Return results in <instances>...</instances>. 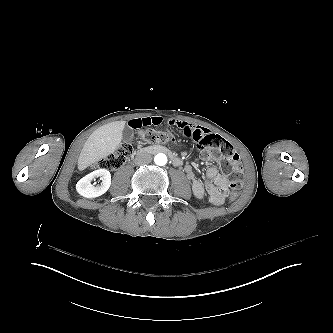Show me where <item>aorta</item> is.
Returning a JSON list of instances; mask_svg holds the SVG:
<instances>
[{"label": "aorta", "mask_w": 333, "mask_h": 333, "mask_svg": "<svg viewBox=\"0 0 333 333\" xmlns=\"http://www.w3.org/2000/svg\"><path fill=\"white\" fill-rule=\"evenodd\" d=\"M154 162L156 165L164 166L167 163V156L164 153H158L154 157Z\"/></svg>", "instance_id": "obj_1"}]
</instances>
